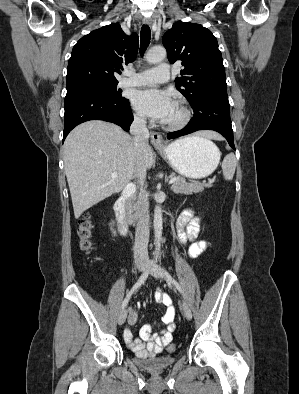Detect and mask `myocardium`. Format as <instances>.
Segmentation results:
<instances>
[{
  "label": "myocardium",
  "instance_id": "f54148a6",
  "mask_svg": "<svg viewBox=\"0 0 299 394\" xmlns=\"http://www.w3.org/2000/svg\"><path fill=\"white\" fill-rule=\"evenodd\" d=\"M181 110V116L178 120L173 122H163V126L170 130H177L185 127L191 120L192 112L189 106L183 100H176L174 102Z\"/></svg>",
  "mask_w": 299,
  "mask_h": 394
}]
</instances>
